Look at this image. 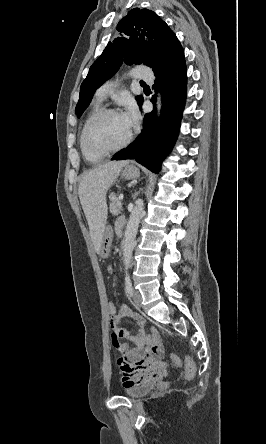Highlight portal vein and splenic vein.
<instances>
[{"label": "portal vein and splenic vein", "mask_w": 266, "mask_h": 444, "mask_svg": "<svg viewBox=\"0 0 266 444\" xmlns=\"http://www.w3.org/2000/svg\"><path fill=\"white\" fill-rule=\"evenodd\" d=\"M123 197H124V195H123V194H121V195L119 196V199H120V200H122V199H123Z\"/></svg>", "instance_id": "18ae733b"}]
</instances>
